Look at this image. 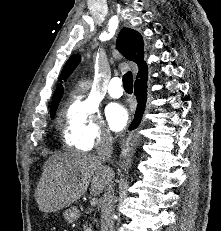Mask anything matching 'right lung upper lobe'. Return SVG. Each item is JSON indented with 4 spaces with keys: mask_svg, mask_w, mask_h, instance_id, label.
Masks as SVG:
<instances>
[{
    "mask_svg": "<svg viewBox=\"0 0 221 231\" xmlns=\"http://www.w3.org/2000/svg\"><path fill=\"white\" fill-rule=\"evenodd\" d=\"M116 45L117 49L122 53L124 57H126L130 61L135 62L138 65V79L135 81V83L147 80L148 67L145 61L143 60L144 44L141 35L133 29L123 28L119 33ZM80 59V55L78 54H74L68 59L61 72L60 78L62 80H67V78L70 76V74L73 72V70L80 62ZM62 95L63 86L61 84H58L54 94L51 108L59 103Z\"/></svg>",
    "mask_w": 221,
    "mask_h": 231,
    "instance_id": "obj_1",
    "label": "right lung upper lobe"
}]
</instances>
